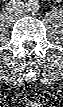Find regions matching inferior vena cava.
I'll return each mask as SVG.
<instances>
[{
  "label": "inferior vena cava",
  "instance_id": "obj_1",
  "mask_svg": "<svg viewBox=\"0 0 63 107\" xmlns=\"http://www.w3.org/2000/svg\"><path fill=\"white\" fill-rule=\"evenodd\" d=\"M25 6L20 1H10L6 5V10L12 15H19L24 12Z\"/></svg>",
  "mask_w": 63,
  "mask_h": 107
}]
</instances>
